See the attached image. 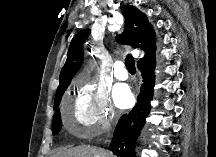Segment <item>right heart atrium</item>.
<instances>
[{"mask_svg":"<svg viewBox=\"0 0 216 157\" xmlns=\"http://www.w3.org/2000/svg\"><path fill=\"white\" fill-rule=\"evenodd\" d=\"M77 90L71 117L73 131L77 135L89 137L109 129L118 114L107 92L87 81H79Z\"/></svg>","mask_w":216,"mask_h":157,"instance_id":"obj_1","label":"right heart atrium"}]
</instances>
